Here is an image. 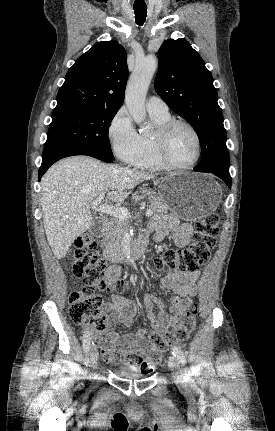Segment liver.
I'll use <instances>...</instances> for the list:
<instances>
[{"label": "liver", "mask_w": 275, "mask_h": 431, "mask_svg": "<svg viewBox=\"0 0 275 431\" xmlns=\"http://www.w3.org/2000/svg\"><path fill=\"white\" fill-rule=\"evenodd\" d=\"M153 178L85 156L53 165L41 181V206L47 241L56 258H64L75 239L92 227L90 204L102 192L121 202L134 187Z\"/></svg>", "instance_id": "6515ba94"}]
</instances>
